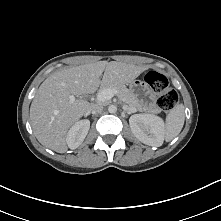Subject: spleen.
Listing matches in <instances>:
<instances>
[{"instance_id":"obj_1","label":"spleen","mask_w":221,"mask_h":221,"mask_svg":"<svg viewBox=\"0 0 221 221\" xmlns=\"http://www.w3.org/2000/svg\"><path fill=\"white\" fill-rule=\"evenodd\" d=\"M185 121L183 104H177L166 117L165 139L167 142L176 137L182 130Z\"/></svg>"}]
</instances>
